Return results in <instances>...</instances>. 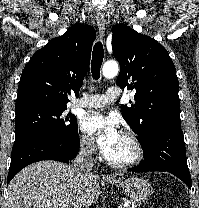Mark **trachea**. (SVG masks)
I'll return each mask as SVG.
<instances>
[{"label": "trachea", "mask_w": 199, "mask_h": 208, "mask_svg": "<svg viewBox=\"0 0 199 208\" xmlns=\"http://www.w3.org/2000/svg\"><path fill=\"white\" fill-rule=\"evenodd\" d=\"M104 51L100 41L96 42L92 52L91 72L94 80L100 78V69L103 62Z\"/></svg>", "instance_id": "1"}]
</instances>
